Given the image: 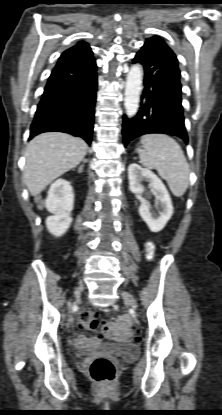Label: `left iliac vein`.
Wrapping results in <instances>:
<instances>
[{
    "label": "left iliac vein",
    "mask_w": 222,
    "mask_h": 415,
    "mask_svg": "<svg viewBox=\"0 0 222 415\" xmlns=\"http://www.w3.org/2000/svg\"><path fill=\"white\" fill-rule=\"evenodd\" d=\"M122 297L124 301L128 303L132 308H137V301L132 294L124 290L122 291Z\"/></svg>",
    "instance_id": "1"
}]
</instances>
